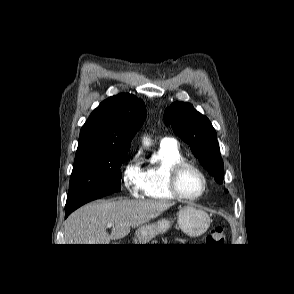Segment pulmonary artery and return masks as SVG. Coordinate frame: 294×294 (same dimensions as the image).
<instances>
[{"mask_svg": "<svg viewBox=\"0 0 294 294\" xmlns=\"http://www.w3.org/2000/svg\"><path fill=\"white\" fill-rule=\"evenodd\" d=\"M160 144L175 146L176 141L173 138H164V139L161 140Z\"/></svg>", "mask_w": 294, "mask_h": 294, "instance_id": "pulmonary-artery-1", "label": "pulmonary artery"}]
</instances>
